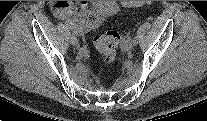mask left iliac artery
Listing matches in <instances>:
<instances>
[{
  "mask_svg": "<svg viewBox=\"0 0 207 121\" xmlns=\"http://www.w3.org/2000/svg\"><path fill=\"white\" fill-rule=\"evenodd\" d=\"M124 40L127 41V42H130V43L133 42L135 45L138 43L137 39L134 38V36L129 34V33L124 35Z\"/></svg>",
  "mask_w": 207,
  "mask_h": 121,
  "instance_id": "left-iliac-artery-1",
  "label": "left iliac artery"
}]
</instances>
